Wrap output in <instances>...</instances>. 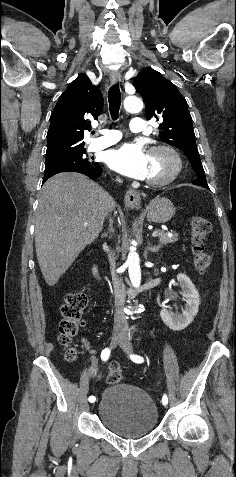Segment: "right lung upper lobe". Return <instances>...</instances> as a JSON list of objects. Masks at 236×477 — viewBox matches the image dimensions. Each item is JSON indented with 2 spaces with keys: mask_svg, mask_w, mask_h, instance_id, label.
<instances>
[{
  "mask_svg": "<svg viewBox=\"0 0 236 477\" xmlns=\"http://www.w3.org/2000/svg\"><path fill=\"white\" fill-rule=\"evenodd\" d=\"M103 96L87 75L81 74L59 98L50 117L45 163L80 152L84 148V130L98 119Z\"/></svg>",
  "mask_w": 236,
  "mask_h": 477,
  "instance_id": "right-lung-upper-lobe-1",
  "label": "right lung upper lobe"
}]
</instances>
